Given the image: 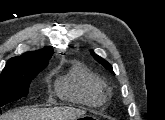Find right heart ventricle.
I'll use <instances>...</instances> for the list:
<instances>
[{
  "instance_id": "1",
  "label": "right heart ventricle",
  "mask_w": 165,
  "mask_h": 120,
  "mask_svg": "<svg viewBox=\"0 0 165 120\" xmlns=\"http://www.w3.org/2000/svg\"><path fill=\"white\" fill-rule=\"evenodd\" d=\"M56 90L63 99L87 105H100L105 100L103 84L80 64L57 80Z\"/></svg>"
}]
</instances>
